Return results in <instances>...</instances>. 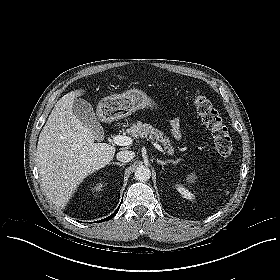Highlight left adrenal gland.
I'll return each mask as SVG.
<instances>
[{"label":"left adrenal gland","mask_w":280,"mask_h":280,"mask_svg":"<svg viewBox=\"0 0 280 280\" xmlns=\"http://www.w3.org/2000/svg\"><path fill=\"white\" fill-rule=\"evenodd\" d=\"M156 161H157L158 164H161V165H162V168H163L164 165H166L167 163H172V162L174 163V161L171 160V159H170V160H166V161H162V160L157 159Z\"/></svg>","instance_id":"a2214340"}]
</instances>
